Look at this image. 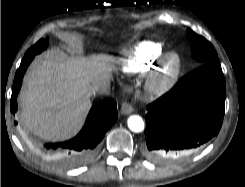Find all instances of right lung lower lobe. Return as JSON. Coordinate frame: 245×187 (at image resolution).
I'll use <instances>...</instances> for the list:
<instances>
[{"instance_id": "obj_1", "label": "right lung lower lobe", "mask_w": 245, "mask_h": 187, "mask_svg": "<svg viewBox=\"0 0 245 187\" xmlns=\"http://www.w3.org/2000/svg\"><path fill=\"white\" fill-rule=\"evenodd\" d=\"M36 54H26L18 68L12 87L10 109L14 114L17 111V96L21 88L22 79L28 65ZM118 117L117 105L113 99H108L90 110L86 123L81 132L72 140L46 145L51 152L62 157L63 161L72 165H81L92 160L98 145L107 130L116 122ZM16 124V123H15Z\"/></svg>"}]
</instances>
